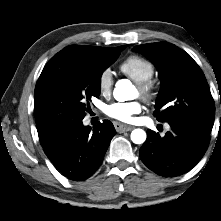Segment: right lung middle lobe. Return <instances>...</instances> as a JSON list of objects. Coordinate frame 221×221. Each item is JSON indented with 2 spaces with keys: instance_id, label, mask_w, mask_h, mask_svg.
<instances>
[{
  "instance_id": "obj_1",
  "label": "right lung middle lobe",
  "mask_w": 221,
  "mask_h": 221,
  "mask_svg": "<svg viewBox=\"0 0 221 221\" xmlns=\"http://www.w3.org/2000/svg\"><path fill=\"white\" fill-rule=\"evenodd\" d=\"M119 55L120 52L109 56L59 57L46 64L34 93L40 142L85 117L91 98L100 95L103 71Z\"/></svg>"
}]
</instances>
